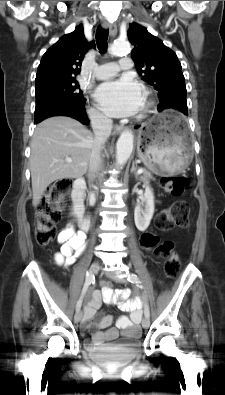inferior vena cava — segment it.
<instances>
[{"instance_id": "obj_1", "label": "inferior vena cava", "mask_w": 225, "mask_h": 395, "mask_svg": "<svg viewBox=\"0 0 225 395\" xmlns=\"http://www.w3.org/2000/svg\"><path fill=\"white\" fill-rule=\"evenodd\" d=\"M91 124L94 131V140L89 159V182H93L95 174L97 173L101 164V150L110 136L113 128V121L111 118L99 112L91 114Z\"/></svg>"}]
</instances>
